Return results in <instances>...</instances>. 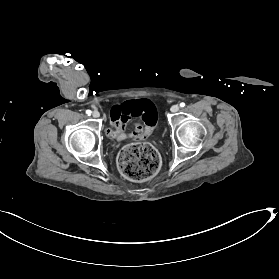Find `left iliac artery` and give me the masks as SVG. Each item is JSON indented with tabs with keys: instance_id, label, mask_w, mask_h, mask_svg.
<instances>
[{
	"instance_id": "left-iliac-artery-1",
	"label": "left iliac artery",
	"mask_w": 279,
	"mask_h": 279,
	"mask_svg": "<svg viewBox=\"0 0 279 279\" xmlns=\"http://www.w3.org/2000/svg\"><path fill=\"white\" fill-rule=\"evenodd\" d=\"M184 106H185V103H183V102H182V103H180V107H182V108H183Z\"/></svg>"
}]
</instances>
